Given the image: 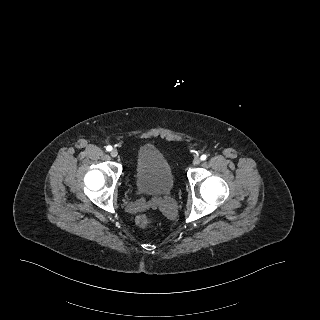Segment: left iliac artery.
Here are the masks:
<instances>
[{
    "label": "left iliac artery",
    "instance_id": "1",
    "mask_svg": "<svg viewBox=\"0 0 320 320\" xmlns=\"http://www.w3.org/2000/svg\"><path fill=\"white\" fill-rule=\"evenodd\" d=\"M206 159H207V156H206L205 154H203V155L201 156V160L204 161V160H206Z\"/></svg>",
    "mask_w": 320,
    "mask_h": 320
}]
</instances>
